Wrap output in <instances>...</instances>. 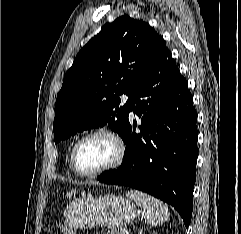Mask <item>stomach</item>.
Masks as SVG:
<instances>
[{
	"mask_svg": "<svg viewBox=\"0 0 241 234\" xmlns=\"http://www.w3.org/2000/svg\"><path fill=\"white\" fill-rule=\"evenodd\" d=\"M136 206L127 198L116 195H90L75 199L66 215L64 234L97 225L120 229L136 216Z\"/></svg>",
	"mask_w": 241,
	"mask_h": 234,
	"instance_id": "1",
	"label": "stomach"
}]
</instances>
